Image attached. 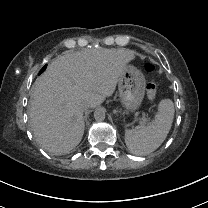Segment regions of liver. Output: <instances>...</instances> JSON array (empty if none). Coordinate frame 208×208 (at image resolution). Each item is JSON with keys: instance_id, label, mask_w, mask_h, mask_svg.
Wrapping results in <instances>:
<instances>
[{"instance_id": "1", "label": "liver", "mask_w": 208, "mask_h": 208, "mask_svg": "<svg viewBox=\"0 0 208 208\" xmlns=\"http://www.w3.org/2000/svg\"><path fill=\"white\" fill-rule=\"evenodd\" d=\"M135 57L128 49H86L54 59L32 89L29 116L36 140L55 154L77 146L85 129L80 103L96 108L112 96Z\"/></svg>"}]
</instances>
